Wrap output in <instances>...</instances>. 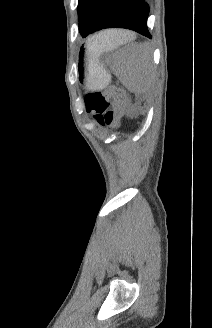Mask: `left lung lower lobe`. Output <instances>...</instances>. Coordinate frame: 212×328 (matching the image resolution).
Returning a JSON list of instances; mask_svg holds the SVG:
<instances>
[{"label": "left lung lower lobe", "mask_w": 212, "mask_h": 328, "mask_svg": "<svg viewBox=\"0 0 212 328\" xmlns=\"http://www.w3.org/2000/svg\"><path fill=\"white\" fill-rule=\"evenodd\" d=\"M148 13L144 0H105L87 35L105 28H126L151 38L147 28Z\"/></svg>", "instance_id": "0a47b994"}]
</instances>
